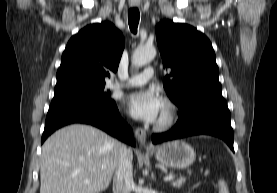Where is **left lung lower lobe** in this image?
Returning <instances> with one entry per match:
<instances>
[{"instance_id": "obj_1", "label": "left lung lower lobe", "mask_w": 277, "mask_h": 193, "mask_svg": "<svg viewBox=\"0 0 277 193\" xmlns=\"http://www.w3.org/2000/svg\"><path fill=\"white\" fill-rule=\"evenodd\" d=\"M200 134L219 137L234 151L230 111L221 94L204 96L192 102L180 113L175 127L168 132L152 135V142L157 144Z\"/></svg>"}]
</instances>
